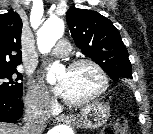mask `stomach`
I'll return each instance as SVG.
<instances>
[{"label":"stomach","mask_w":153,"mask_h":134,"mask_svg":"<svg viewBox=\"0 0 153 134\" xmlns=\"http://www.w3.org/2000/svg\"><path fill=\"white\" fill-rule=\"evenodd\" d=\"M110 117V108L106 104L94 102L82 108L77 115L76 123L84 129H98L102 127Z\"/></svg>","instance_id":"obj_1"}]
</instances>
